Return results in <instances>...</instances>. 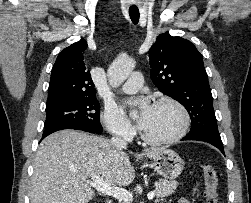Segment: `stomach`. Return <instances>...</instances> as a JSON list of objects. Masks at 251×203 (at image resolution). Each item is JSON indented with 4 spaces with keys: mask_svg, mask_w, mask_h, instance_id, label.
Masks as SVG:
<instances>
[{
    "mask_svg": "<svg viewBox=\"0 0 251 203\" xmlns=\"http://www.w3.org/2000/svg\"><path fill=\"white\" fill-rule=\"evenodd\" d=\"M151 167L160 176L174 179L181 174L184 168V162L173 150L164 149L153 158Z\"/></svg>",
    "mask_w": 251,
    "mask_h": 203,
    "instance_id": "obj_1",
    "label": "stomach"
}]
</instances>
